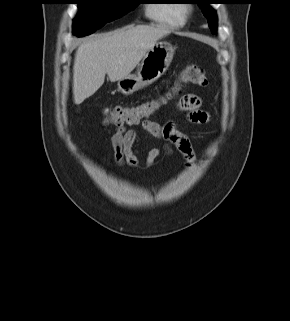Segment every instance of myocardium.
I'll return each mask as SVG.
<instances>
[{
	"mask_svg": "<svg viewBox=\"0 0 290 321\" xmlns=\"http://www.w3.org/2000/svg\"><path fill=\"white\" fill-rule=\"evenodd\" d=\"M183 11H184V14H189L192 11V8L190 6H186L184 7Z\"/></svg>",
	"mask_w": 290,
	"mask_h": 321,
	"instance_id": "myocardium-1",
	"label": "myocardium"
}]
</instances>
